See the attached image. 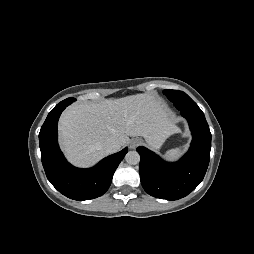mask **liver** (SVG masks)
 Returning a JSON list of instances; mask_svg holds the SVG:
<instances>
[{
	"label": "liver",
	"instance_id": "6515ba94",
	"mask_svg": "<svg viewBox=\"0 0 254 254\" xmlns=\"http://www.w3.org/2000/svg\"><path fill=\"white\" fill-rule=\"evenodd\" d=\"M177 131L160 97L143 93L100 103H75L61 116L59 132L65 155L77 166H90L106 156L105 146L120 148L141 136L158 148Z\"/></svg>",
	"mask_w": 254,
	"mask_h": 254
}]
</instances>
